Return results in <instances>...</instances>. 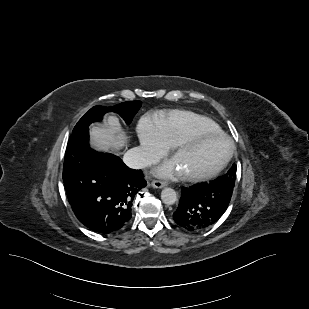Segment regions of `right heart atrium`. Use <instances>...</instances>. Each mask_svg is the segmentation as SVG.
I'll list each match as a JSON object with an SVG mask.
<instances>
[{
  "label": "right heart atrium",
  "mask_w": 309,
  "mask_h": 309,
  "mask_svg": "<svg viewBox=\"0 0 309 309\" xmlns=\"http://www.w3.org/2000/svg\"><path fill=\"white\" fill-rule=\"evenodd\" d=\"M138 137L140 157L144 164L157 162L170 150V144L158 127L149 121H141L138 127Z\"/></svg>",
  "instance_id": "obj_1"
}]
</instances>
